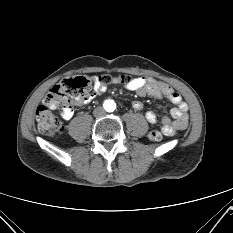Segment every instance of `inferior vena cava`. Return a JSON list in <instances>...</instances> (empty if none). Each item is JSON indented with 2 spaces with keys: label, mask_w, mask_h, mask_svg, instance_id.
<instances>
[{
  "label": "inferior vena cava",
  "mask_w": 233,
  "mask_h": 233,
  "mask_svg": "<svg viewBox=\"0 0 233 233\" xmlns=\"http://www.w3.org/2000/svg\"><path fill=\"white\" fill-rule=\"evenodd\" d=\"M94 116H102L105 114V110L102 107H97L93 111Z\"/></svg>",
  "instance_id": "602c4592"
}]
</instances>
